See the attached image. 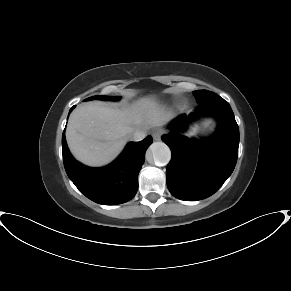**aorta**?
Instances as JSON below:
<instances>
[{"label": "aorta", "mask_w": 291, "mask_h": 291, "mask_svg": "<svg viewBox=\"0 0 291 291\" xmlns=\"http://www.w3.org/2000/svg\"><path fill=\"white\" fill-rule=\"evenodd\" d=\"M149 153L157 166H165L171 159L170 148L163 142H154L149 148Z\"/></svg>", "instance_id": "aorta-1"}]
</instances>
